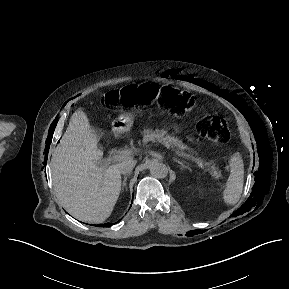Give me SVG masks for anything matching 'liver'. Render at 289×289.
Listing matches in <instances>:
<instances>
[{"label": "liver", "instance_id": "6515ba94", "mask_svg": "<svg viewBox=\"0 0 289 289\" xmlns=\"http://www.w3.org/2000/svg\"><path fill=\"white\" fill-rule=\"evenodd\" d=\"M99 139L86 114L78 110L52 155L58 203L74 218L89 223H102L110 216L121 190L119 163L101 162Z\"/></svg>", "mask_w": 289, "mask_h": 289}]
</instances>
